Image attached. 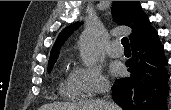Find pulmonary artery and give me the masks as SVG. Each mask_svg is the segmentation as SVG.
<instances>
[{
    "mask_svg": "<svg viewBox=\"0 0 171 110\" xmlns=\"http://www.w3.org/2000/svg\"><path fill=\"white\" fill-rule=\"evenodd\" d=\"M107 53L111 57H120L123 54V49L119 41H112L107 47Z\"/></svg>",
    "mask_w": 171,
    "mask_h": 110,
    "instance_id": "obj_1",
    "label": "pulmonary artery"
}]
</instances>
